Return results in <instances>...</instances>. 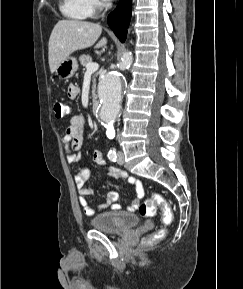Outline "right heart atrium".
<instances>
[{
  "label": "right heart atrium",
  "instance_id": "right-heart-atrium-1",
  "mask_svg": "<svg viewBox=\"0 0 243 289\" xmlns=\"http://www.w3.org/2000/svg\"><path fill=\"white\" fill-rule=\"evenodd\" d=\"M91 13L96 12L100 7V1L99 0H85Z\"/></svg>",
  "mask_w": 243,
  "mask_h": 289
}]
</instances>
